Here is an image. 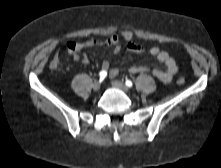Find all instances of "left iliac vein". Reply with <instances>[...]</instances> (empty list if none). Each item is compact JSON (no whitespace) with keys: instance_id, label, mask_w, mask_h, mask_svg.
<instances>
[{"instance_id":"left-iliac-vein-1","label":"left iliac vein","mask_w":221,"mask_h":168,"mask_svg":"<svg viewBox=\"0 0 221 168\" xmlns=\"http://www.w3.org/2000/svg\"><path fill=\"white\" fill-rule=\"evenodd\" d=\"M112 85L120 90H122L123 92L125 93H128L129 92V88L124 84L122 83L121 81H118V80H114L112 82Z\"/></svg>"}]
</instances>
